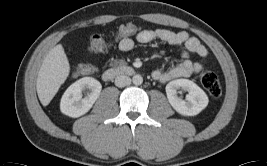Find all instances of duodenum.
Masks as SVG:
<instances>
[{"instance_id": "duodenum-1", "label": "duodenum", "mask_w": 267, "mask_h": 166, "mask_svg": "<svg viewBox=\"0 0 267 166\" xmlns=\"http://www.w3.org/2000/svg\"><path fill=\"white\" fill-rule=\"evenodd\" d=\"M134 68L130 65L118 64L107 68L102 73V78L105 81H109L117 76H132L134 74Z\"/></svg>"}]
</instances>
